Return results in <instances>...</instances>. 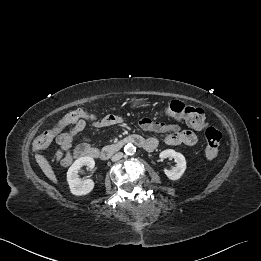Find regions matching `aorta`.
<instances>
[{
  "mask_svg": "<svg viewBox=\"0 0 261 261\" xmlns=\"http://www.w3.org/2000/svg\"><path fill=\"white\" fill-rule=\"evenodd\" d=\"M124 152L126 155H134L136 152V147L133 144L128 143L124 147Z\"/></svg>",
  "mask_w": 261,
  "mask_h": 261,
  "instance_id": "obj_1",
  "label": "aorta"
}]
</instances>
